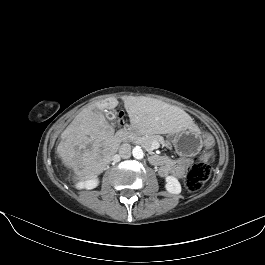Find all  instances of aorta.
I'll list each match as a JSON object with an SVG mask.
<instances>
[{"instance_id": "1", "label": "aorta", "mask_w": 265, "mask_h": 265, "mask_svg": "<svg viewBox=\"0 0 265 265\" xmlns=\"http://www.w3.org/2000/svg\"><path fill=\"white\" fill-rule=\"evenodd\" d=\"M133 157L135 159H142L144 157V152L140 146H135L132 150Z\"/></svg>"}]
</instances>
